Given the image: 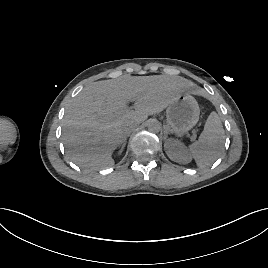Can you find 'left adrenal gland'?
<instances>
[{"mask_svg":"<svg viewBox=\"0 0 268 268\" xmlns=\"http://www.w3.org/2000/svg\"><path fill=\"white\" fill-rule=\"evenodd\" d=\"M167 135H168V131H167V129L165 128V129H164V140H166Z\"/></svg>","mask_w":268,"mask_h":268,"instance_id":"1","label":"left adrenal gland"}]
</instances>
